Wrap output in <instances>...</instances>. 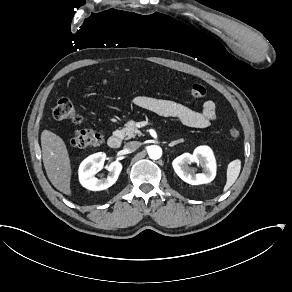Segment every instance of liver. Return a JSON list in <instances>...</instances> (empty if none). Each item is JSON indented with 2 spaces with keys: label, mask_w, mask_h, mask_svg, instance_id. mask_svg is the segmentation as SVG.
<instances>
[{
  "label": "liver",
  "mask_w": 292,
  "mask_h": 292,
  "mask_svg": "<svg viewBox=\"0 0 292 292\" xmlns=\"http://www.w3.org/2000/svg\"><path fill=\"white\" fill-rule=\"evenodd\" d=\"M43 164L51 184L61 193L72 197V168L64 140L56 133L44 129L41 133Z\"/></svg>",
  "instance_id": "liver-1"
}]
</instances>
